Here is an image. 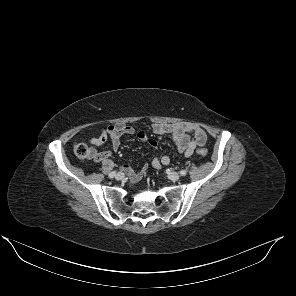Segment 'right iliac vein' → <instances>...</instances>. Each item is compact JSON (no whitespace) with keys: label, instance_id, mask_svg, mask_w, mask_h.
I'll return each instance as SVG.
<instances>
[{"label":"right iliac vein","instance_id":"right-iliac-vein-1","mask_svg":"<svg viewBox=\"0 0 296 296\" xmlns=\"http://www.w3.org/2000/svg\"><path fill=\"white\" fill-rule=\"evenodd\" d=\"M115 178H116L117 180H122V179L124 178V174L121 173V172H119V173L115 176Z\"/></svg>","mask_w":296,"mask_h":296}]
</instances>
